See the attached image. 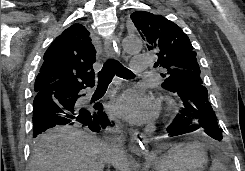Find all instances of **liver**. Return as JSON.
<instances>
[{"mask_svg": "<svg viewBox=\"0 0 245 171\" xmlns=\"http://www.w3.org/2000/svg\"><path fill=\"white\" fill-rule=\"evenodd\" d=\"M113 164L118 171H131L123 160L113 159L109 144L72 126H59L43 134L30 160V171H103Z\"/></svg>", "mask_w": 245, "mask_h": 171, "instance_id": "liver-1", "label": "liver"}]
</instances>
